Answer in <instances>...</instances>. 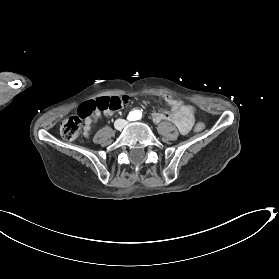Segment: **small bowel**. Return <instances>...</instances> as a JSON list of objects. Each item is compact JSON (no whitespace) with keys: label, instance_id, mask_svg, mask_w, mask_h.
Listing matches in <instances>:
<instances>
[{"label":"small bowel","instance_id":"obj_1","mask_svg":"<svg viewBox=\"0 0 279 279\" xmlns=\"http://www.w3.org/2000/svg\"><path fill=\"white\" fill-rule=\"evenodd\" d=\"M164 102L171 107V113H162V112H154L152 114V118L155 122H160L163 120L172 121L178 128L179 132L183 135L189 133L192 129L194 120L193 116H191L183 103L177 99H174L170 96H163ZM114 111H95L93 114L85 118L83 134L85 137H88L91 134L93 124L104 116H110Z\"/></svg>","mask_w":279,"mask_h":279}]
</instances>
